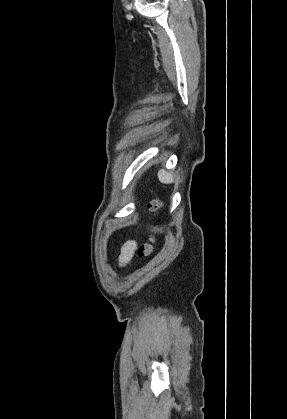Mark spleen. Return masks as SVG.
Masks as SVG:
<instances>
[{
    "label": "spleen",
    "instance_id": "1",
    "mask_svg": "<svg viewBox=\"0 0 287 419\" xmlns=\"http://www.w3.org/2000/svg\"><path fill=\"white\" fill-rule=\"evenodd\" d=\"M158 178H159V181L164 184H170L173 182V176L170 173H167L164 171H160L158 173Z\"/></svg>",
    "mask_w": 287,
    "mask_h": 419
}]
</instances>
